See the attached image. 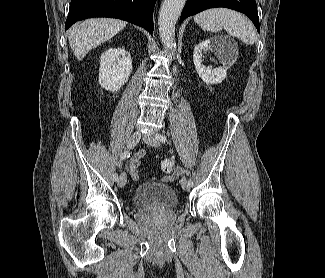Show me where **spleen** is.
I'll return each instance as SVG.
<instances>
[{"mask_svg":"<svg viewBox=\"0 0 325 278\" xmlns=\"http://www.w3.org/2000/svg\"><path fill=\"white\" fill-rule=\"evenodd\" d=\"M194 21L204 31L216 33L224 29L247 45H253L256 41V30L252 23L244 15L230 9H208L195 15Z\"/></svg>","mask_w":325,"mask_h":278,"instance_id":"spleen-1","label":"spleen"}]
</instances>
